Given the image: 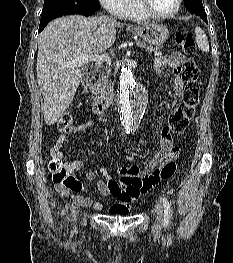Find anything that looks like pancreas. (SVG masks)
Instances as JSON below:
<instances>
[{
    "label": "pancreas",
    "mask_w": 233,
    "mask_h": 263,
    "mask_svg": "<svg viewBox=\"0 0 233 263\" xmlns=\"http://www.w3.org/2000/svg\"><path fill=\"white\" fill-rule=\"evenodd\" d=\"M137 45L140 47L145 48L146 51L149 52H156L159 51L161 48L160 47H153V46H148L144 41H136ZM111 73V68L110 67H101L99 69V78L98 80L91 86V92H92V97L95 100H100L104 101L107 96V92L109 90L110 85L108 84L109 80V75Z\"/></svg>",
    "instance_id": "1"
}]
</instances>
